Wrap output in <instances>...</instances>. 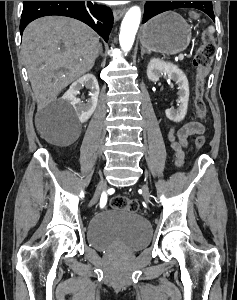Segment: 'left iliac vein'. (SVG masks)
Returning a JSON list of instances; mask_svg holds the SVG:
<instances>
[{
  "mask_svg": "<svg viewBox=\"0 0 237 300\" xmlns=\"http://www.w3.org/2000/svg\"><path fill=\"white\" fill-rule=\"evenodd\" d=\"M143 188H144V190H147V186H146V185H144V187H143Z\"/></svg>",
  "mask_w": 237,
  "mask_h": 300,
  "instance_id": "left-iliac-vein-1",
  "label": "left iliac vein"
}]
</instances>
